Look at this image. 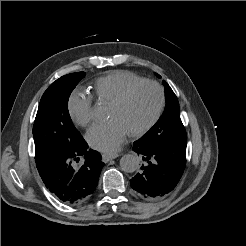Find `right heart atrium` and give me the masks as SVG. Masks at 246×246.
<instances>
[{"label": "right heart atrium", "instance_id": "1", "mask_svg": "<svg viewBox=\"0 0 246 246\" xmlns=\"http://www.w3.org/2000/svg\"><path fill=\"white\" fill-rule=\"evenodd\" d=\"M67 108L75 124L86 127L93 121V98L91 95L81 90H75L68 99Z\"/></svg>", "mask_w": 246, "mask_h": 246}]
</instances>
